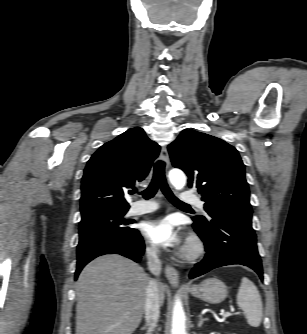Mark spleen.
<instances>
[{"label":"spleen","mask_w":307,"mask_h":334,"mask_svg":"<svg viewBox=\"0 0 307 334\" xmlns=\"http://www.w3.org/2000/svg\"><path fill=\"white\" fill-rule=\"evenodd\" d=\"M237 304L245 312L248 324L258 327L263 316L262 300L255 284L246 277L241 280L237 293Z\"/></svg>","instance_id":"3e777b00"}]
</instances>
